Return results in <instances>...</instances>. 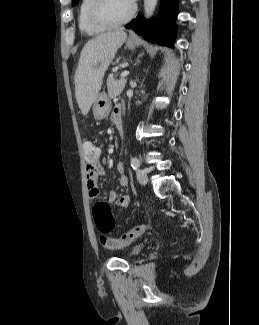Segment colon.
<instances>
[{
	"mask_svg": "<svg viewBox=\"0 0 259 325\" xmlns=\"http://www.w3.org/2000/svg\"><path fill=\"white\" fill-rule=\"evenodd\" d=\"M83 153L85 159L94 160L98 156V147L91 140H85L83 142ZM93 217L97 228L103 233L100 237L101 244L109 250L120 249L130 245L134 240L142 236L147 228L146 224H138L117 238L107 236L106 234L114 228L115 220L110 205L104 201L94 205Z\"/></svg>",
	"mask_w": 259,
	"mask_h": 325,
	"instance_id": "1",
	"label": "colon"
}]
</instances>
